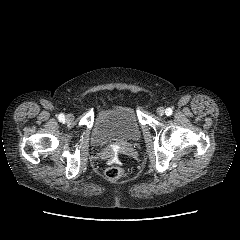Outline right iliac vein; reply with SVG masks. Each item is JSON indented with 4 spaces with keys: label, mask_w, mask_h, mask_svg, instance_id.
Masks as SVG:
<instances>
[{
    "label": "right iliac vein",
    "mask_w": 240,
    "mask_h": 240,
    "mask_svg": "<svg viewBox=\"0 0 240 240\" xmlns=\"http://www.w3.org/2000/svg\"><path fill=\"white\" fill-rule=\"evenodd\" d=\"M73 119H74V117H73V115H72V114H67V115H66V119H65V120H66V122H68V123H69V122H72V121H73Z\"/></svg>",
    "instance_id": "obj_1"
}]
</instances>
